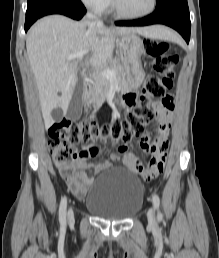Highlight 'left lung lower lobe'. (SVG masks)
Masks as SVG:
<instances>
[{
  "instance_id": "1",
  "label": "left lung lower lobe",
  "mask_w": 219,
  "mask_h": 258,
  "mask_svg": "<svg viewBox=\"0 0 219 258\" xmlns=\"http://www.w3.org/2000/svg\"><path fill=\"white\" fill-rule=\"evenodd\" d=\"M118 26H146L151 24H164L177 30L189 43L190 15L187 0L169 1L155 9V11L142 19L132 21H117Z\"/></svg>"
}]
</instances>
